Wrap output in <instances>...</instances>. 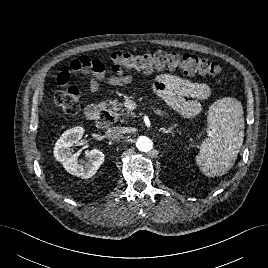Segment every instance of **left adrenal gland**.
<instances>
[{"label":"left adrenal gland","mask_w":268,"mask_h":268,"mask_svg":"<svg viewBox=\"0 0 268 268\" xmlns=\"http://www.w3.org/2000/svg\"><path fill=\"white\" fill-rule=\"evenodd\" d=\"M176 127H177V124H175V125H173V126L167 128V129H166V128H162V131H163V133H165V134H170V133L173 132L174 128H176Z\"/></svg>","instance_id":"obj_1"}]
</instances>
